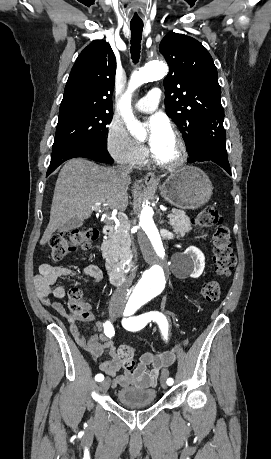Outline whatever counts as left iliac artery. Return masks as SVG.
Segmentation results:
<instances>
[{
    "instance_id": "44dca946",
    "label": "left iliac artery",
    "mask_w": 271,
    "mask_h": 459,
    "mask_svg": "<svg viewBox=\"0 0 271 459\" xmlns=\"http://www.w3.org/2000/svg\"><path fill=\"white\" fill-rule=\"evenodd\" d=\"M142 303H137L134 302L131 304L130 307H125L123 310L124 316H133L135 313V310L138 309ZM151 320L157 322L159 325V334L161 336H164V339L167 340L168 336V322L166 317L158 312V311H151L142 315H139L137 317H129V318H123L122 320V325L126 330L129 331H138L141 330L146 326L148 322ZM167 385L168 387H173V379L169 378L167 379Z\"/></svg>"
}]
</instances>
